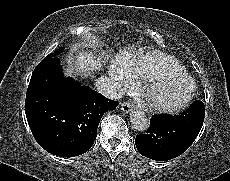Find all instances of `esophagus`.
<instances>
[{
	"label": "esophagus",
	"instance_id": "1",
	"mask_svg": "<svg viewBox=\"0 0 230 181\" xmlns=\"http://www.w3.org/2000/svg\"><path fill=\"white\" fill-rule=\"evenodd\" d=\"M131 107H132L131 104L128 102H123L121 104V110L125 113H129L131 111Z\"/></svg>",
	"mask_w": 230,
	"mask_h": 181
}]
</instances>
